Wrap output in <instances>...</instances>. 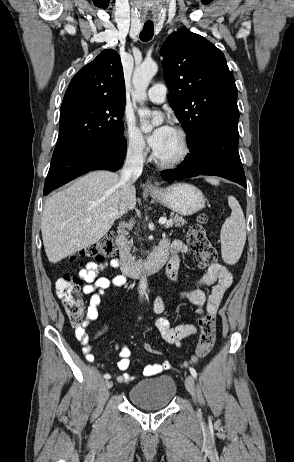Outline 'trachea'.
Returning <instances> with one entry per match:
<instances>
[{
  "instance_id": "obj_1",
  "label": "trachea",
  "mask_w": 294,
  "mask_h": 462,
  "mask_svg": "<svg viewBox=\"0 0 294 462\" xmlns=\"http://www.w3.org/2000/svg\"><path fill=\"white\" fill-rule=\"evenodd\" d=\"M154 35V25L152 22H146L140 33V39L147 42L152 39Z\"/></svg>"
}]
</instances>
